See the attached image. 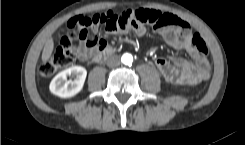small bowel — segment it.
<instances>
[{
    "mask_svg": "<svg viewBox=\"0 0 245 145\" xmlns=\"http://www.w3.org/2000/svg\"><path fill=\"white\" fill-rule=\"evenodd\" d=\"M82 27L79 28L81 30ZM92 32L97 33V27L92 26ZM137 34L144 35L146 29L139 27L136 29ZM159 37L175 50H186L193 60L189 62L185 58L175 57L171 59L172 65L163 58L155 61V67L162 77L172 84H187L197 85L209 77V71L204 74L207 68V58L199 53L192 45V32L188 22L180 20L177 29L162 28L158 31ZM107 47L105 39L97 38V43L89 47L86 44L82 45V50L79 53V59L82 61L88 60L93 53L104 50Z\"/></svg>",
    "mask_w": 245,
    "mask_h": 145,
    "instance_id": "small-bowel-1",
    "label": "small bowel"
}]
</instances>
